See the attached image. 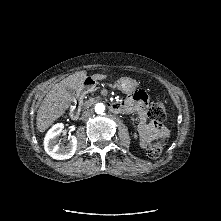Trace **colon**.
Here are the masks:
<instances>
[{
  "label": "colon",
  "instance_id": "obj_1",
  "mask_svg": "<svg viewBox=\"0 0 221 221\" xmlns=\"http://www.w3.org/2000/svg\"><path fill=\"white\" fill-rule=\"evenodd\" d=\"M167 111L164 103L162 101H153L148 110V116L154 120H164L166 118ZM167 136L165 134L160 140L152 143L147 149V154L151 158H158L163 150L164 139Z\"/></svg>",
  "mask_w": 221,
  "mask_h": 221
}]
</instances>
